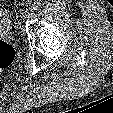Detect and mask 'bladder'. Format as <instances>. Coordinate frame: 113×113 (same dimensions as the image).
I'll return each instance as SVG.
<instances>
[{
	"instance_id": "bladder-1",
	"label": "bladder",
	"mask_w": 113,
	"mask_h": 113,
	"mask_svg": "<svg viewBox=\"0 0 113 113\" xmlns=\"http://www.w3.org/2000/svg\"><path fill=\"white\" fill-rule=\"evenodd\" d=\"M10 28V22L8 19L0 12V34L5 33Z\"/></svg>"
}]
</instances>
